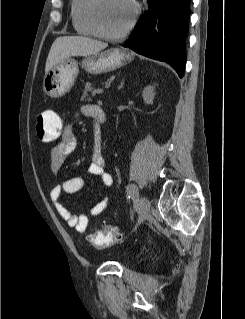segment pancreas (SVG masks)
<instances>
[{
  "mask_svg": "<svg viewBox=\"0 0 245 319\" xmlns=\"http://www.w3.org/2000/svg\"><path fill=\"white\" fill-rule=\"evenodd\" d=\"M94 91H95V89L92 87V84L90 82H87L86 85H85V88L83 90L82 99L91 100V98L89 97L88 93L89 92L93 93Z\"/></svg>",
  "mask_w": 245,
  "mask_h": 319,
  "instance_id": "pancreas-1",
  "label": "pancreas"
}]
</instances>
